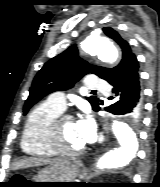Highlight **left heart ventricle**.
I'll use <instances>...</instances> for the list:
<instances>
[{
    "label": "left heart ventricle",
    "mask_w": 160,
    "mask_h": 187,
    "mask_svg": "<svg viewBox=\"0 0 160 187\" xmlns=\"http://www.w3.org/2000/svg\"><path fill=\"white\" fill-rule=\"evenodd\" d=\"M61 130L63 136V143L67 149L75 151L84 147L85 144L80 139V136L76 129L75 121H63Z\"/></svg>",
    "instance_id": "1"
}]
</instances>
